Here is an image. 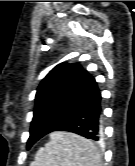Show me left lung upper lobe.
I'll use <instances>...</instances> for the list:
<instances>
[{"label":"left lung upper lobe","mask_w":135,"mask_h":166,"mask_svg":"<svg viewBox=\"0 0 135 166\" xmlns=\"http://www.w3.org/2000/svg\"><path fill=\"white\" fill-rule=\"evenodd\" d=\"M83 68L79 64L61 63L42 80L36 93L33 126L40 125L64 103L78 81Z\"/></svg>","instance_id":"1"}]
</instances>
